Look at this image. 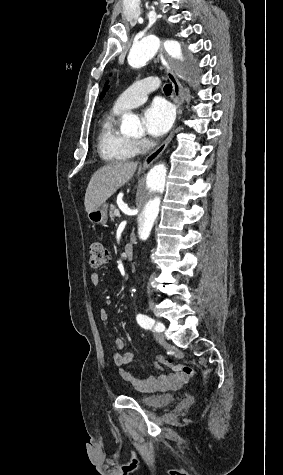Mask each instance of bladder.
<instances>
[{
	"label": "bladder",
	"instance_id": "31cf9c89",
	"mask_svg": "<svg viewBox=\"0 0 283 475\" xmlns=\"http://www.w3.org/2000/svg\"><path fill=\"white\" fill-rule=\"evenodd\" d=\"M137 403L146 408L164 407L174 401L173 394H162L153 396L133 395Z\"/></svg>",
	"mask_w": 283,
	"mask_h": 475
}]
</instances>
